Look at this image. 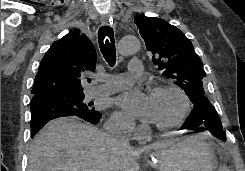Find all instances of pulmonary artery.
<instances>
[{"mask_svg": "<svg viewBox=\"0 0 245 171\" xmlns=\"http://www.w3.org/2000/svg\"><path fill=\"white\" fill-rule=\"evenodd\" d=\"M141 73L142 63L140 59L134 58L130 61L127 72L108 77L102 85L92 86L88 90V94L90 97H97L126 89L133 83L136 76Z\"/></svg>", "mask_w": 245, "mask_h": 171, "instance_id": "1", "label": "pulmonary artery"}]
</instances>
